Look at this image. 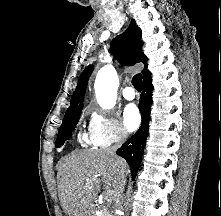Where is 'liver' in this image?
I'll return each instance as SVG.
<instances>
[{
  "instance_id": "liver-1",
  "label": "liver",
  "mask_w": 221,
  "mask_h": 216,
  "mask_svg": "<svg viewBox=\"0 0 221 216\" xmlns=\"http://www.w3.org/2000/svg\"><path fill=\"white\" fill-rule=\"evenodd\" d=\"M118 166L127 174L129 167L123 158L105 150L77 151L63 158L57 166L61 206L68 216H94L97 191L103 187L115 192Z\"/></svg>"
}]
</instances>
